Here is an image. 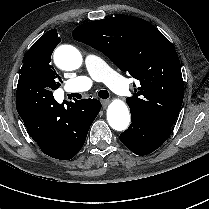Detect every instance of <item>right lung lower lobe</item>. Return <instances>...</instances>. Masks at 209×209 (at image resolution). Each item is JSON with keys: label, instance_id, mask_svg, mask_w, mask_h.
<instances>
[{"label": "right lung lower lobe", "instance_id": "98d812e1", "mask_svg": "<svg viewBox=\"0 0 209 209\" xmlns=\"http://www.w3.org/2000/svg\"><path fill=\"white\" fill-rule=\"evenodd\" d=\"M17 112L24 121L28 134L39 145L42 152L55 159L73 158L82 148L88 130L101 109L95 99L64 101L59 104L41 88L18 81ZM83 104L86 114L82 119L74 118V105Z\"/></svg>", "mask_w": 209, "mask_h": 209}]
</instances>
